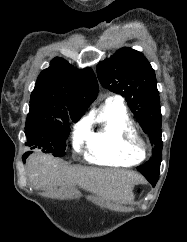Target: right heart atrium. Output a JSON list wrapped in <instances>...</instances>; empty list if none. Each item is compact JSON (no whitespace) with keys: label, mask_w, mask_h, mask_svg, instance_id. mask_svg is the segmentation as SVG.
<instances>
[{"label":"right heart atrium","mask_w":187,"mask_h":242,"mask_svg":"<svg viewBox=\"0 0 187 242\" xmlns=\"http://www.w3.org/2000/svg\"><path fill=\"white\" fill-rule=\"evenodd\" d=\"M87 133L88 126L85 121L76 124L73 132V145L75 148H78L86 140Z\"/></svg>","instance_id":"1"}]
</instances>
